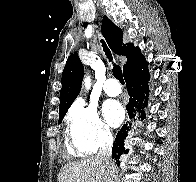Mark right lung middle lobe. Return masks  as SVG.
<instances>
[{"mask_svg":"<svg viewBox=\"0 0 196 182\" xmlns=\"http://www.w3.org/2000/svg\"><path fill=\"white\" fill-rule=\"evenodd\" d=\"M63 118H64V115L59 117V124L62 122Z\"/></svg>","mask_w":196,"mask_h":182,"instance_id":"obj_1","label":"right lung middle lobe"}]
</instances>
